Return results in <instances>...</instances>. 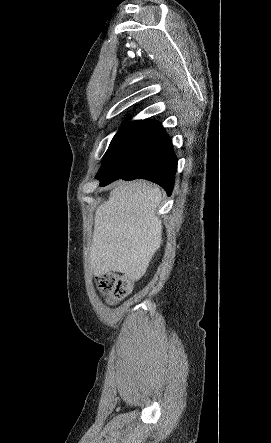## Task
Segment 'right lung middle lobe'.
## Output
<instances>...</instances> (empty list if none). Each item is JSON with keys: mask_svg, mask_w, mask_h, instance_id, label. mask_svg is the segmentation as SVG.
<instances>
[{"mask_svg": "<svg viewBox=\"0 0 271 443\" xmlns=\"http://www.w3.org/2000/svg\"><path fill=\"white\" fill-rule=\"evenodd\" d=\"M139 121H132L130 123L125 124L120 128L117 134L112 139L102 162V165L99 169L98 173L103 172L117 157L123 143L127 139V137L131 134L134 128L137 126Z\"/></svg>", "mask_w": 271, "mask_h": 443, "instance_id": "obj_1", "label": "right lung middle lobe"}]
</instances>
